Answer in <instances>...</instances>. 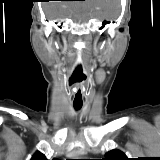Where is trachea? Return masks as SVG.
<instances>
[{
  "mask_svg": "<svg viewBox=\"0 0 160 160\" xmlns=\"http://www.w3.org/2000/svg\"><path fill=\"white\" fill-rule=\"evenodd\" d=\"M81 107H82V105H75V104H74V108H75L76 110L81 109Z\"/></svg>",
  "mask_w": 160,
  "mask_h": 160,
  "instance_id": "trachea-1",
  "label": "trachea"
}]
</instances>
